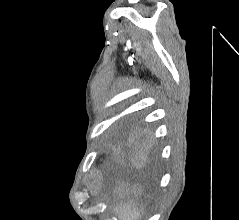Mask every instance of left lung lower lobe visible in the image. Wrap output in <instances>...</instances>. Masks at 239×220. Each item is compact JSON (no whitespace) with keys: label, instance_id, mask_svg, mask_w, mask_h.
<instances>
[{"label":"left lung lower lobe","instance_id":"obj_1","mask_svg":"<svg viewBox=\"0 0 239 220\" xmlns=\"http://www.w3.org/2000/svg\"><path fill=\"white\" fill-rule=\"evenodd\" d=\"M118 160H137L149 150V141L144 132L136 128L120 131L114 139Z\"/></svg>","mask_w":239,"mask_h":220}]
</instances>
